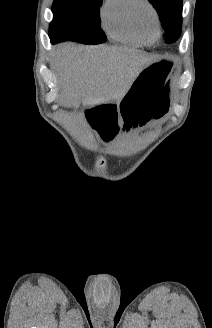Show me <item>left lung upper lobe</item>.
I'll return each mask as SVG.
<instances>
[{
    "mask_svg": "<svg viewBox=\"0 0 212 328\" xmlns=\"http://www.w3.org/2000/svg\"><path fill=\"white\" fill-rule=\"evenodd\" d=\"M159 14L166 33V43L175 42L181 34L182 0H149Z\"/></svg>",
    "mask_w": 212,
    "mask_h": 328,
    "instance_id": "5c2ea615",
    "label": "left lung upper lobe"
}]
</instances>
